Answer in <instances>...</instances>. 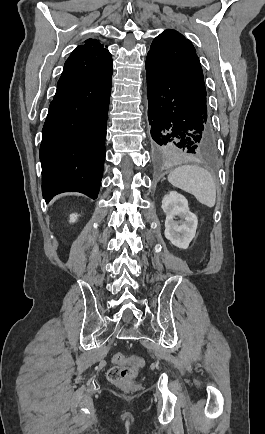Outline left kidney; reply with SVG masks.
Instances as JSON below:
<instances>
[{
    "label": "left kidney",
    "instance_id": "left-kidney-1",
    "mask_svg": "<svg viewBox=\"0 0 265 434\" xmlns=\"http://www.w3.org/2000/svg\"><path fill=\"white\" fill-rule=\"evenodd\" d=\"M161 208L166 214L165 238L170 240L173 246L187 250L190 242L195 238L198 220L195 214L189 212L186 198L177 192H169L164 196ZM176 216L181 220L175 222Z\"/></svg>",
    "mask_w": 265,
    "mask_h": 434
}]
</instances>
